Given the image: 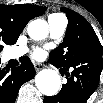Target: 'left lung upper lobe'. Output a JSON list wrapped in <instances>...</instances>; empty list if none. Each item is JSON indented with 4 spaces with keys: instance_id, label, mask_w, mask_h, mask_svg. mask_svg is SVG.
I'll return each instance as SVG.
<instances>
[{
    "instance_id": "obj_1",
    "label": "left lung upper lobe",
    "mask_w": 103,
    "mask_h": 103,
    "mask_svg": "<svg viewBox=\"0 0 103 103\" xmlns=\"http://www.w3.org/2000/svg\"><path fill=\"white\" fill-rule=\"evenodd\" d=\"M68 18L63 42L49 54V61L56 67H69L91 51L103 52V47L89 22L77 12L62 7Z\"/></svg>"
}]
</instances>
